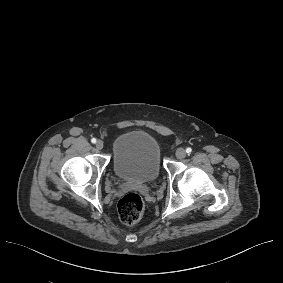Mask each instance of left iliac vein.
Returning a JSON list of instances; mask_svg holds the SVG:
<instances>
[{"instance_id": "left-iliac-vein-1", "label": "left iliac vein", "mask_w": 283, "mask_h": 283, "mask_svg": "<svg viewBox=\"0 0 283 283\" xmlns=\"http://www.w3.org/2000/svg\"><path fill=\"white\" fill-rule=\"evenodd\" d=\"M185 156H186V151H185V149H183V148H178V149L176 150V157H177L178 159H183Z\"/></svg>"}]
</instances>
